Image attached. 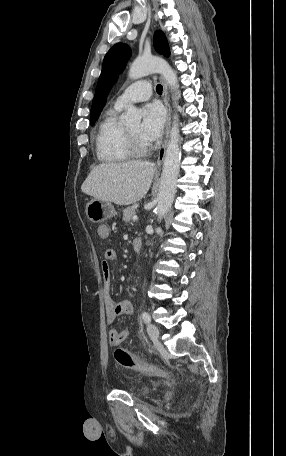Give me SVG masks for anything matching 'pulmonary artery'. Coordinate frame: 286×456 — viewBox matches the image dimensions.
<instances>
[{
    "label": "pulmonary artery",
    "instance_id": "obj_1",
    "mask_svg": "<svg viewBox=\"0 0 286 456\" xmlns=\"http://www.w3.org/2000/svg\"><path fill=\"white\" fill-rule=\"evenodd\" d=\"M152 95V87L145 80L137 81L128 86L116 99L115 106L122 108L130 103L145 101Z\"/></svg>",
    "mask_w": 286,
    "mask_h": 456
}]
</instances>
